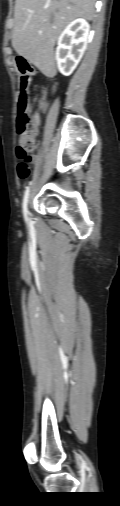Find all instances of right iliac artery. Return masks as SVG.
<instances>
[{"label":"right iliac artery","instance_id":"1","mask_svg":"<svg viewBox=\"0 0 120 506\" xmlns=\"http://www.w3.org/2000/svg\"><path fill=\"white\" fill-rule=\"evenodd\" d=\"M29 192H30V188L26 187V190H25V193H24V197H23V214H24V218H25L26 222L28 221V217H27V214H28L27 205H28V199H29Z\"/></svg>","mask_w":120,"mask_h":506}]
</instances>
